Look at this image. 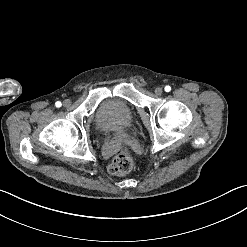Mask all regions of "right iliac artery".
<instances>
[{
  "label": "right iliac artery",
  "mask_w": 247,
  "mask_h": 247,
  "mask_svg": "<svg viewBox=\"0 0 247 247\" xmlns=\"http://www.w3.org/2000/svg\"><path fill=\"white\" fill-rule=\"evenodd\" d=\"M55 105H56V107H61V102H59V101H57L56 103H55Z\"/></svg>",
  "instance_id": "obj_1"
}]
</instances>
